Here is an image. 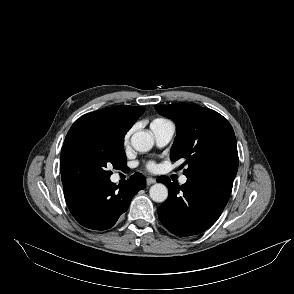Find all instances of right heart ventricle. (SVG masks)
Masks as SVG:
<instances>
[{"mask_svg":"<svg viewBox=\"0 0 294 294\" xmlns=\"http://www.w3.org/2000/svg\"><path fill=\"white\" fill-rule=\"evenodd\" d=\"M169 122V120H166L164 118H156L154 119L151 124H150V127L151 129L154 128V127H157V126H160V125H163L165 123Z\"/></svg>","mask_w":294,"mask_h":294,"instance_id":"1","label":"right heart ventricle"}]
</instances>
